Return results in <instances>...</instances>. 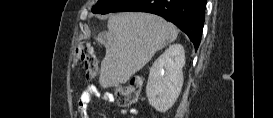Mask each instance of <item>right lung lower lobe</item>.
Instances as JSON below:
<instances>
[{
  "mask_svg": "<svg viewBox=\"0 0 273 118\" xmlns=\"http://www.w3.org/2000/svg\"><path fill=\"white\" fill-rule=\"evenodd\" d=\"M205 7L206 0H126L114 12L141 11L159 15L185 32L197 50Z\"/></svg>",
  "mask_w": 273,
  "mask_h": 118,
  "instance_id": "1",
  "label": "right lung lower lobe"
}]
</instances>
